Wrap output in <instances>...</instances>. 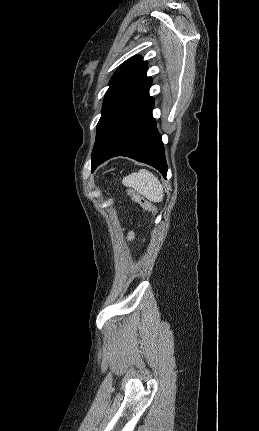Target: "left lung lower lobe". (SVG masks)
Segmentation results:
<instances>
[{"instance_id":"1","label":"left lung lower lobe","mask_w":259,"mask_h":431,"mask_svg":"<svg viewBox=\"0 0 259 431\" xmlns=\"http://www.w3.org/2000/svg\"><path fill=\"white\" fill-rule=\"evenodd\" d=\"M153 107L154 99L149 96L116 125L91 157L92 172L112 157L126 156L153 166L166 178L164 147L152 116Z\"/></svg>"}]
</instances>
